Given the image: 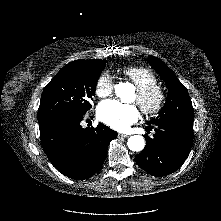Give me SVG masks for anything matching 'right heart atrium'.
I'll return each mask as SVG.
<instances>
[{
  "instance_id": "right-heart-atrium-1",
  "label": "right heart atrium",
  "mask_w": 221,
  "mask_h": 221,
  "mask_svg": "<svg viewBox=\"0 0 221 221\" xmlns=\"http://www.w3.org/2000/svg\"><path fill=\"white\" fill-rule=\"evenodd\" d=\"M114 89V81L108 72H103L97 78L95 84V93L99 97H106L112 93Z\"/></svg>"
}]
</instances>
